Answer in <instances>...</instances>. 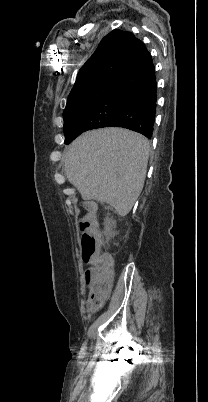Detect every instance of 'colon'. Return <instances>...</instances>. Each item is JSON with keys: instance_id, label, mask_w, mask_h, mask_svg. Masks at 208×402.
<instances>
[{"instance_id": "obj_1", "label": "colon", "mask_w": 208, "mask_h": 402, "mask_svg": "<svg viewBox=\"0 0 208 402\" xmlns=\"http://www.w3.org/2000/svg\"><path fill=\"white\" fill-rule=\"evenodd\" d=\"M80 240L84 241L80 253L83 262L90 265L86 269L85 278L91 281L90 290L94 293L89 294L86 299V308H103V301L106 295L112 294L111 275L113 274V256H108L107 251L101 250L104 235L102 232H84L91 228L92 220L86 217L80 220Z\"/></svg>"}]
</instances>
